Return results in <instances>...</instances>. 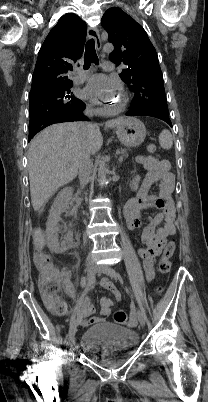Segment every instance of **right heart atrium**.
I'll list each match as a JSON object with an SVG mask.
<instances>
[{
  "label": "right heart atrium",
  "mask_w": 208,
  "mask_h": 402,
  "mask_svg": "<svg viewBox=\"0 0 208 402\" xmlns=\"http://www.w3.org/2000/svg\"><path fill=\"white\" fill-rule=\"evenodd\" d=\"M96 106V103H92L91 105H90V108H94Z\"/></svg>",
  "instance_id": "obj_1"
}]
</instances>
